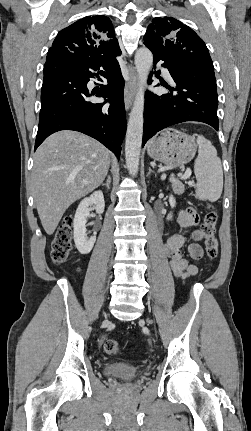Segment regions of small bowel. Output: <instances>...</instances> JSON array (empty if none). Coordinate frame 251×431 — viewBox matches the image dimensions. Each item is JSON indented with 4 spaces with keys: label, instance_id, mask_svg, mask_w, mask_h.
Here are the masks:
<instances>
[{
    "label": "small bowel",
    "instance_id": "small-bowel-1",
    "mask_svg": "<svg viewBox=\"0 0 251 431\" xmlns=\"http://www.w3.org/2000/svg\"><path fill=\"white\" fill-rule=\"evenodd\" d=\"M177 222L181 229L186 232L198 223V215L194 208L182 209L178 213ZM203 239L201 230H194L191 233L192 243L188 246L190 257L195 263H189L182 256V247L186 242V236L182 233L170 234L167 236L164 249L170 260L173 274L178 278H187L198 273L197 262L203 257V249L200 241Z\"/></svg>",
    "mask_w": 251,
    "mask_h": 431
}]
</instances>
